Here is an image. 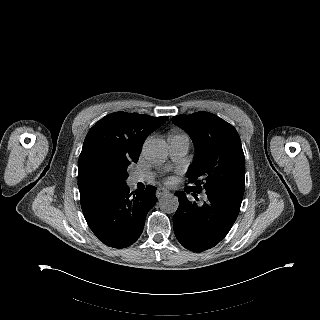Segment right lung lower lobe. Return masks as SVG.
Segmentation results:
<instances>
[{
    "label": "right lung lower lobe",
    "mask_w": 320,
    "mask_h": 320,
    "mask_svg": "<svg viewBox=\"0 0 320 320\" xmlns=\"http://www.w3.org/2000/svg\"><path fill=\"white\" fill-rule=\"evenodd\" d=\"M155 189L148 185L133 193L126 184H99L80 191L87 224L107 246H130L141 235L146 215L157 201Z\"/></svg>",
    "instance_id": "1"
}]
</instances>
